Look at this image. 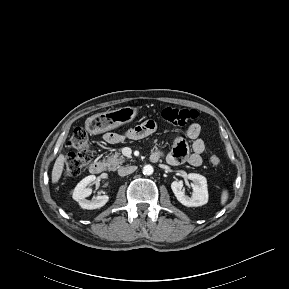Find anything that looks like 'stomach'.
<instances>
[{
    "label": "stomach",
    "instance_id": "obj_1",
    "mask_svg": "<svg viewBox=\"0 0 289 289\" xmlns=\"http://www.w3.org/2000/svg\"><path fill=\"white\" fill-rule=\"evenodd\" d=\"M137 108L122 107L116 110L99 113L86 120V130L93 135L104 133L134 120Z\"/></svg>",
    "mask_w": 289,
    "mask_h": 289
}]
</instances>
